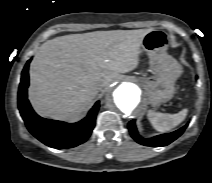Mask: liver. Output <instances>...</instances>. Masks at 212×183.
Segmentation results:
<instances>
[{"label": "liver", "mask_w": 212, "mask_h": 183, "mask_svg": "<svg viewBox=\"0 0 212 183\" xmlns=\"http://www.w3.org/2000/svg\"><path fill=\"white\" fill-rule=\"evenodd\" d=\"M153 29L95 31L43 43L30 64L29 100L47 118L78 117L119 73L139 65L144 36Z\"/></svg>", "instance_id": "6515ba94"}]
</instances>
